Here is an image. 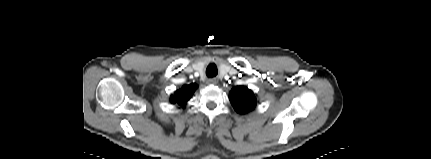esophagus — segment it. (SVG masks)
Masks as SVG:
<instances>
[{"instance_id": "esophagus-1", "label": "esophagus", "mask_w": 431, "mask_h": 159, "mask_svg": "<svg viewBox=\"0 0 431 159\" xmlns=\"http://www.w3.org/2000/svg\"><path fill=\"white\" fill-rule=\"evenodd\" d=\"M207 83H209V84H216L217 80L215 78H210V79L207 80Z\"/></svg>"}]
</instances>
